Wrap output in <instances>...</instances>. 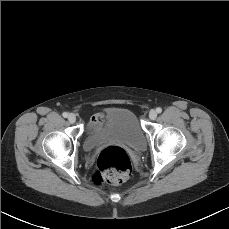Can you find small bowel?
I'll use <instances>...</instances> for the list:
<instances>
[{
    "mask_svg": "<svg viewBox=\"0 0 229 229\" xmlns=\"http://www.w3.org/2000/svg\"><path fill=\"white\" fill-rule=\"evenodd\" d=\"M105 121V116L103 113H96L91 121H90V125L89 128H97V127H101L104 124Z\"/></svg>",
    "mask_w": 229,
    "mask_h": 229,
    "instance_id": "obj_1",
    "label": "small bowel"
}]
</instances>
